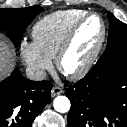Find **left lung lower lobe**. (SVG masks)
Masks as SVG:
<instances>
[{
  "instance_id": "0a47b994",
  "label": "left lung lower lobe",
  "mask_w": 127,
  "mask_h": 127,
  "mask_svg": "<svg viewBox=\"0 0 127 127\" xmlns=\"http://www.w3.org/2000/svg\"><path fill=\"white\" fill-rule=\"evenodd\" d=\"M66 95L68 127H127V43L105 50Z\"/></svg>"
}]
</instances>
